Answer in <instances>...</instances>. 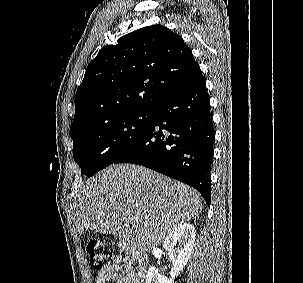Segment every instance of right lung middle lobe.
Listing matches in <instances>:
<instances>
[{"label":"right lung middle lobe","instance_id":"dd1d6c3e","mask_svg":"<svg viewBox=\"0 0 303 283\" xmlns=\"http://www.w3.org/2000/svg\"><path fill=\"white\" fill-rule=\"evenodd\" d=\"M149 111H134L71 134L73 158L82 173L93 176L126 153L145 132Z\"/></svg>","mask_w":303,"mask_h":283}]
</instances>
